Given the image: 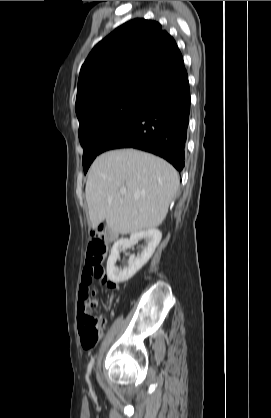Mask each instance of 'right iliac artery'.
Here are the masks:
<instances>
[{
  "label": "right iliac artery",
  "instance_id": "1",
  "mask_svg": "<svg viewBox=\"0 0 271 418\" xmlns=\"http://www.w3.org/2000/svg\"><path fill=\"white\" fill-rule=\"evenodd\" d=\"M93 364H94V357L91 359V361H90V363L88 365L87 376L90 375Z\"/></svg>",
  "mask_w": 271,
  "mask_h": 418
}]
</instances>
